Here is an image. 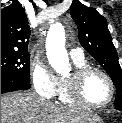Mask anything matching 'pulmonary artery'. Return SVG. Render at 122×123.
<instances>
[{
    "label": "pulmonary artery",
    "instance_id": "pulmonary-artery-1",
    "mask_svg": "<svg viewBox=\"0 0 122 123\" xmlns=\"http://www.w3.org/2000/svg\"><path fill=\"white\" fill-rule=\"evenodd\" d=\"M69 54L73 60H78V59L84 58V53L81 48H72V49H70Z\"/></svg>",
    "mask_w": 122,
    "mask_h": 123
}]
</instances>
